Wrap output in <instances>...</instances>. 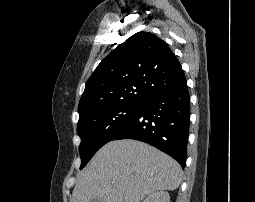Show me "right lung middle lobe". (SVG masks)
Listing matches in <instances>:
<instances>
[{"instance_id":"1","label":"right lung middle lobe","mask_w":255,"mask_h":202,"mask_svg":"<svg viewBox=\"0 0 255 202\" xmlns=\"http://www.w3.org/2000/svg\"><path fill=\"white\" fill-rule=\"evenodd\" d=\"M141 104L105 107L79 118L77 133L81 137L79 153L82 169L98 149L111 141L116 133L136 114Z\"/></svg>"}]
</instances>
